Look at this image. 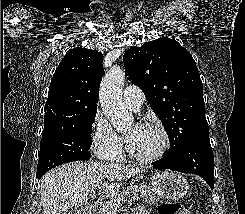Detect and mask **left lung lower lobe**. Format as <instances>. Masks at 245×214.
Here are the masks:
<instances>
[{"mask_svg": "<svg viewBox=\"0 0 245 214\" xmlns=\"http://www.w3.org/2000/svg\"><path fill=\"white\" fill-rule=\"evenodd\" d=\"M152 165L159 170L197 174L214 188V157L209 138L195 139L177 151L164 154Z\"/></svg>", "mask_w": 245, "mask_h": 214, "instance_id": "obj_1", "label": "left lung lower lobe"}]
</instances>
